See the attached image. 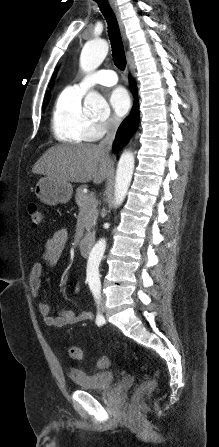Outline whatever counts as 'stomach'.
<instances>
[{
  "label": "stomach",
  "instance_id": "1",
  "mask_svg": "<svg viewBox=\"0 0 219 447\" xmlns=\"http://www.w3.org/2000/svg\"><path fill=\"white\" fill-rule=\"evenodd\" d=\"M34 193L41 202L56 205L68 202L72 197L73 188L69 182L47 175L36 183Z\"/></svg>",
  "mask_w": 219,
  "mask_h": 447
}]
</instances>
